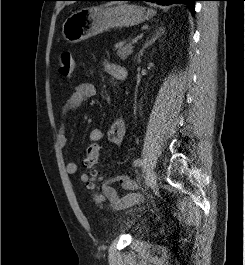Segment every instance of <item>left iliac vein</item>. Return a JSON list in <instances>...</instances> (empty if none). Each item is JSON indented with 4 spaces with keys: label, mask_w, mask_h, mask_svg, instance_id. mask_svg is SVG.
I'll list each match as a JSON object with an SVG mask.
<instances>
[{
    "label": "left iliac vein",
    "mask_w": 245,
    "mask_h": 265,
    "mask_svg": "<svg viewBox=\"0 0 245 265\" xmlns=\"http://www.w3.org/2000/svg\"><path fill=\"white\" fill-rule=\"evenodd\" d=\"M145 183H146L147 188H155L156 187V185H157V174L155 171L152 170L147 174Z\"/></svg>",
    "instance_id": "4c4485c4"
}]
</instances>
